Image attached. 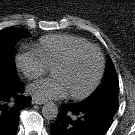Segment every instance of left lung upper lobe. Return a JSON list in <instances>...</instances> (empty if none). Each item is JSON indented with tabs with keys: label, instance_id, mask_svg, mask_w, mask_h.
I'll list each match as a JSON object with an SVG mask.
<instances>
[{
	"label": "left lung upper lobe",
	"instance_id": "5c2ea615",
	"mask_svg": "<svg viewBox=\"0 0 135 135\" xmlns=\"http://www.w3.org/2000/svg\"><path fill=\"white\" fill-rule=\"evenodd\" d=\"M118 92H119V82L117 74L114 65L112 63V60L109 59L102 84L86 99L108 97L110 95H115L116 97H118Z\"/></svg>",
	"mask_w": 135,
	"mask_h": 135
}]
</instances>
